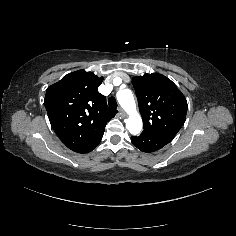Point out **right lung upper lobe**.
<instances>
[{
	"mask_svg": "<svg viewBox=\"0 0 236 236\" xmlns=\"http://www.w3.org/2000/svg\"><path fill=\"white\" fill-rule=\"evenodd\" d=\"M103 77L78 70L64 76L46 90L44 105L60 140L71 150L91 145L104 133L117 113L98 92Z\"/></svg>",
	"mask_w": 236,
	"mask_h": 236,
	"instance_id": "cb5924a9",
	"label": "right lung upper lobe"
}]
</instances>
